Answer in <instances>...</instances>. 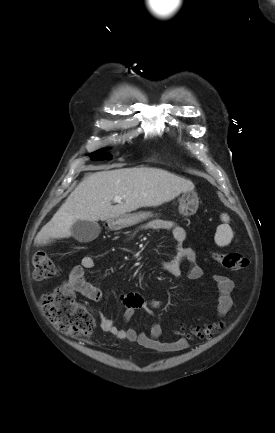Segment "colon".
<instances>
[{
    "instance_id": "obj_1",
    "label": "colon",
    "mask_w": 275,
    "mask_h": 433,
    "mask_svg": "<svg viewBox=\"0 0 275 433\" xmlns=\"http://www.w3.org/2000/svg\"><path fill=\"white\" fill-rule=\"evenodd\" d=\"M214 258L226 269L239 271L248 265V259L241 253L231 251L215 253ZM36 279H50L59 274L60 270L51 257L45 252H37L33 257ZM43 312L48 320L59 331L75 337L89 335L95 326L89 311L76 301L73 289L68 285L56 288L45 294L41 299ZM224 327V323L212 322L194 328L191 334L199 339H207Z\"/></svg>"
}]
</instances>
